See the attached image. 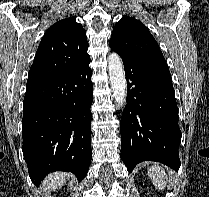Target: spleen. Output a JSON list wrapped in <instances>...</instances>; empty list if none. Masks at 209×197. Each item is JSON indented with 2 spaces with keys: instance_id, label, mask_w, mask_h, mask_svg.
Wrapping results in <instances>:
<instances>
[{
  "instance_id": "obj_1",
  "label": "spleen",
  "mask_w": 209,
  "mask_h": 197,
  "mask_svg": "<svg viewBox=\"0 0 209 197\" xmlns=\"http://www.w3.org/2000/svg\"><path fill=\"white\" fill-rule=\"evenodd\" d=\"M148 175L151 178L155 188L158 190H163L166 187L167 176L162 167L153 165L151 168H149Z\"/></svg>"
}]
</instances>
